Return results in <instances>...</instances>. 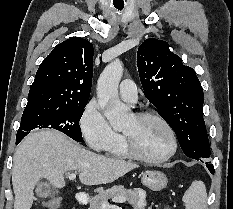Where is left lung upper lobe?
Wrapping results in <instances>:
<instances>
[{"instance_id":"left-lung-upper-lobe-1","label":"left lung upper lobe","mask_w":233,"mask_h":209,"mask_svg":"<svg viewBox=\"0 0 233 209\" xmlns=\"http://www.w3.org/2000/svg\"><path fill=\"white\" fill-rule=\"evenodd\" d=\"M163 40L149 38L139 47L137 66L147 99L176 133L187 157H210L203 119V89L195 71L182 63Z\"/></svg>"}]
</instances>
